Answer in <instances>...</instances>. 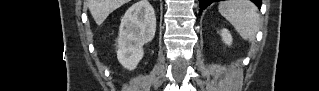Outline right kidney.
Wrapping results in <instances>:
<instances>
[{"instance_id": "obj_1", "label": "right kidney", "mask_w": 319, "mask_h": 91, "mask_svg": "<svg viewBox=\"0 0 319 91\" xmlns=\"http://www.w3.org/2000/svg\"><path fill=\"white\" fill-rule=\"evenodd\" d=\"M155 32L154 9L148 0H139L121 19L117 58L124 68H136L144 55L143 45L152 41Z\"/></svg>"}]
</instances>
